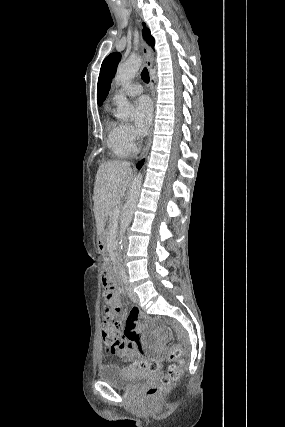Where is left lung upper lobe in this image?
<instances>
[{"instance_id": "left-lung-upper-lobe-1", "label": "left lung upper lobe", "mask_w": 285, "mask_h": 427, "mask_svg": "<svg viewBox=\"0 0 285 427\" xmlns=\"http://www.w3.org/2000/svg\"><path fill=\"white\" fill-rule=\"evenodd\" d=\"M143 35L149 45L154 47V38L150 35V30L147 28L143 29ZM121 59V55L118 52L112 53L107 56L101 65V70L98 78L97 85V102L98 105H102L108 91L110 89L111 81L116 73L117 65Z\"/></svg>"}]
</instances>
